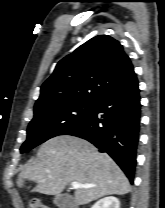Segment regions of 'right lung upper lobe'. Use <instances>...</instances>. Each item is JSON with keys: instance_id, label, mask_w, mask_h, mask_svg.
<instances>
[{"instance_id": "1", "label": "right lung upper lobe", "mask_w": 165, "mask_h": 208, "mask_svg": "<svg viewBox=\"0 0 165 208\" xmlns=\"http://www.w3.org/2000/svg\"><path fill=\"white\" fill-rule=\"evenodd\" d=\"M122 45L98 35L63 58L43 83L34 110L68 101H98L134 75Z\"/></svg>"}]
</instances>
